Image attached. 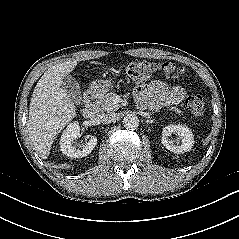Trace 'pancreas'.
<instances>
[{
  "label": "pancreas",
  "mask_w": 239,
  "mask_h": 239,
  "mask_svg": "<svg viewBox=\"0 0 239 239\" xmlns=\"http://www.w3.org/2000/svg\"><path fill=\"white\" fill-rule=\"evenodd\" d=\"M115 96L116 94L113 92L99 96L97 104L99 106L100 111L118 110L121 106L119 103L114 102ZM170 110H173L178 114L182 113V111L176 107H171Z\"/></svg>",
  "instance_id": "1"
}]
</instances>
